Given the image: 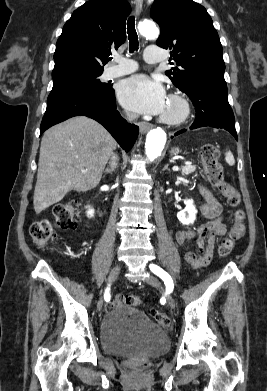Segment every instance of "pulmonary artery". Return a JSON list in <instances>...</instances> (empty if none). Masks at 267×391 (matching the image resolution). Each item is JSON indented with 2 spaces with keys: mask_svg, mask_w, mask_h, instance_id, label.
Returning <instances> with one entry per match:
<instances>
[{
  "mask_svg": "<svg viewBox=\"0 0 267 391\" xmlns=\"http://www.w3.org/2000/svg\"><path fill=\"white\" fill-rule=\"evenodd\" d=\"M165 59V55L161 48L157 46H149L145 51V60L148 63H158ZM117 65L107 69L105 75L107 78H116L123 75L130 74L137 70L135 61L121 56H114Z\"/></svg>",
  "mask_w": 267,
  "mask_h": 391,
  "instance_id": "pulmonary-artery-1",
  "label": "pulmonary artery"
}]
</instances>
